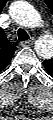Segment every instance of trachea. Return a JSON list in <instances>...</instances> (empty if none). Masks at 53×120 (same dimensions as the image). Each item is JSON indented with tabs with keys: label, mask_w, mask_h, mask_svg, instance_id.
I'll use <instances>...</instances> for the list:
<instances>
[{
	"label": "trachea",
	"mask_w": 53,
	"mask_h": 120,
	"mask_svg": "<svg viewBox=\"0 0 53 120\" xmlns=\"http://www.w3.org/2000/svg\"><path fill=\"white\" fill-rule=\"evenodd\" d=\"M18 39L20 42L22 41H26L29 39V35L27 34V32L24 29H18Z\"/></svg>",
	"instance_id": "1"
}]
</instances>
